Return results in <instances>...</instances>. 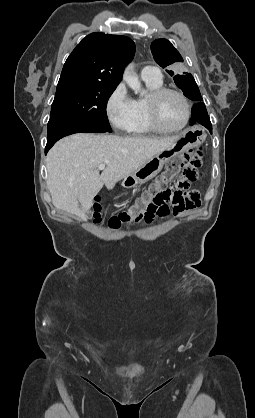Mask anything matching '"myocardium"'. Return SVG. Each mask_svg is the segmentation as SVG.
Instances as JSON below:
<instances>
[{
  "instance_id": "f54148a6",
  "label": "myocardium",
  "mask_w": 255,
  "mask_h": 418,
  "mask_svg": "<svg viewBox=\"0 0 255 418\" xmlns=\"http://www.w3.org/2000/svg\"><path fill=\"white\" fill-rule=\"evenodd\" d=\"M168 94H175L180 97L186 107L184 122L176 128H168L164 126L160 118V103L161 100ZM147 111L150 124L156 131L162 133H176L183 130L189 124L192 115V105L183 92L174 88L161 87L149 94L147 98Z\"/></svg>"
}]
</instances>
